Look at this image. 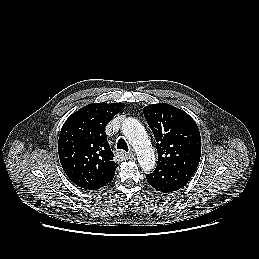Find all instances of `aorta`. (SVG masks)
Wrapping results in <instances>:
<instances>
[{"label":"aorta","mask_w":259,"mask_h":259,"mask_svg":"<svg viewBox=\"0 0 259 259\" xmlns=\"http://www.w3.org/2000/svg\"><path fill=\"white\" fill-rule=\"evenodd\" d=\"M121 130L136 150L140 167L144 171H152L155 168V154L144 126L137 119L129 117L123 121Z\"/></svg>","instance_id":"aorta-1"}]
</instances>
